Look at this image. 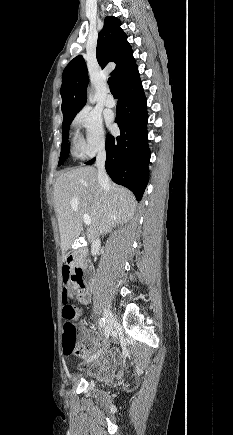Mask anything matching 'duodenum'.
<instances>
[{
	"label": "duodenum",
	"instance_id": "duodenum-1",
	"mask_svg": "<svg viewBox=\"0 0 233 435\" xmlns=\"http://www.w3.org/2000/svg\"><path fill=\"white\" fill-rule=\"evenodd\" d=\"M67 262L74 275L78 278V283L75 284L78 299L81 303L87 304L89 298L86 294V285L84 283V277L89 274L90 266L85 260V248H81L75 252L69 254Z\"/></svg>",
	"mask_w": 233,
	"mask_h": 435
}]
</instances>
